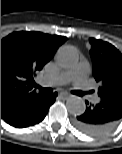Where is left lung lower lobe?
<instances>
[{
  "mask_svg": "<svg viewBox=\"0 0 122 154\" xmlns=\"http://www.w3.org/2000/svg\"><path fill=\"white\" fill-rule=\"evenodd\" d=\"M120 120H122V94L119 93L100 97V102L86 107L85 112L78 115L73 124L83 133L99 136L111 131Z\"/></svg>",
  "mask_w": 122,
  "mask_h": 154,
  "instance_id": "1",
  "label": "left lung lower lobe"
}]
</instances>
